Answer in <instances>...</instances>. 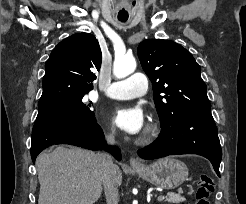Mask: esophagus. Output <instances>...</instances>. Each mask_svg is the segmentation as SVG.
I'll return each instance as SVG.
<instances>
[{
    "label": "esophagus",
    "mask_w": 246,
    "mask_h": 204,
    "mask_svg": "<svg viewBox=\"0 0 246 204\" xmlns=\"http://www.w3.org/2000/svg\"><path fill=\"white\" fill-rule=\"evenodd\" d=\"M129 164L132 166V167H140L142 164L141 162L138 160V159H135L133 157H131L129 159Z\"/></svg>",
    "instance_id": "1"
}]
</instances>
